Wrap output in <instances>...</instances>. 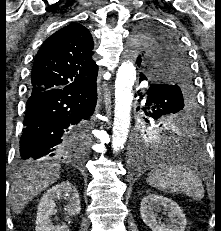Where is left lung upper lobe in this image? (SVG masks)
Segmentation results:
<instances>
[{"label":"left lung upper lobe","mask_w":221,"mask_h":231,"mask_svg":"<svg viewBox=\"0 0 221 231\" xmlns=\"http://www.w3.org/2000/svg\"><path fill=\"white\" fill-rule=\"evenodd\" d=\"M134 38L139 51L137 65L165 88L158 99L146 102V115L153 119L176 113L185 115L195 101V93L184 46L171 32L153 24L141 25Z\"/></svg>","instance_id":"1"}]
</instances>
